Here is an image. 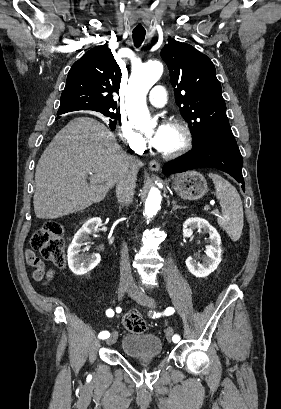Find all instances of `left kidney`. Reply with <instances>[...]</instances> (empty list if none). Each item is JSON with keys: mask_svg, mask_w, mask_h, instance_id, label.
<instances>
[{"mask_svg": "<svg viewBox=\"0 0 281 409\" xmlns=\"http://www.w3.org/2000/svg\"><path fill=\"white\" fill-rule=\"evenodd\" d=\"M194 229H203L204 233H209L210 245L206 247L205 259L203 263H197L192 257L186 259V267L188 271L195 275V277H208L210 273H213L217 269L219 263H221V237L217 233L216 229L205 221V219H200V217H190L186 219L183 223V235L184 237H192Z\"/></svg>", "mask_w": 281, "mask_h": 409, "instance_id": "1", "label": "left kidney"}]
</instances>
